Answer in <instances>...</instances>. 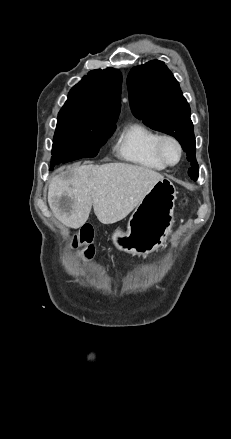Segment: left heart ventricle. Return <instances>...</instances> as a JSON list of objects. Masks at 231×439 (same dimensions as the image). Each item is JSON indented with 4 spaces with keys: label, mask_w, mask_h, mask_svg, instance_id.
Listing matches in <instances>:
<instances>
[{
    "label": "left heart ventricle",
    "mask_w": 231,
    "mask_h": 439,
    "mask_svg": "<svg viewBox=\"0 0 231 439\" xmlns=\"http://www.w3.org/2000/svg\"><path fill=\"white\" fill-rule=\"evenodd\" d=\"M163 150H164V154L166 156V158L168 159V161L174 163L177 161L178 156H179V152L178 149L176 147V145L172 142H165L164 146H163Z\"/></svg>",
    "instance_id": "left-heart-ventricle-1"
}]
</instances>
